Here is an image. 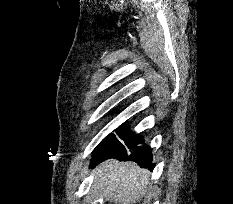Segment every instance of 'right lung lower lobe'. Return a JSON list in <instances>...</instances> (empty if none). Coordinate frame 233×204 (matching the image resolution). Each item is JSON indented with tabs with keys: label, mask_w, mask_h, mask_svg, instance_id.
Here are the masks:
<instances>
[{
	"label": "right lung lower lobe",
	"mask_w": 233,
	"mask_h": 204,
	"mask_svg": "<svg viewBox=\"0 0 233 204\" xmlns=\"http://www.w3.org/2000/svg\"><path fill=\"white\" fill-rule=\"evenodd\" d=\"M109 158H116L120 161H134L141 167L149 168L150 170H152L155 166V164L152 163L150 147L140 145L135 146L130 150L121 151H109L107 149L97 147L93 152V157L91 159L92 167Z\"/></svg>",
	"instance_id": "right-lung-lower-lobe-1"
}]
</instances>
